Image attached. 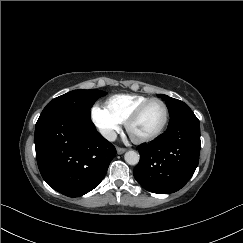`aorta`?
<instances>
[{"label":"aorta","instance_id":"obj_1","mask_svg":"<svg viewBox=\"0 0 243 243\" xmlns=\"http://www.w3.org/2000/svg\"><path fill=\"white\" fill-rule=\"evenodd\" d=\"M125 161L130 165H136L139 162V154L133 150L128 151L124 155Z\"/></svg>","mask_w":243,"mask_h":243}]
</instances>
